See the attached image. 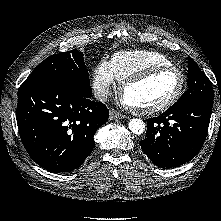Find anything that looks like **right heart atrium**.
<instances>
[{
	"instance_id": "1",
	"label": "right heart atrium",
	"mask_w": 221,
	"mask_h": 221,
	"mask_svg": "<svg viewBox=\"0 0 221 221\" xmlns=\"http://www.w3.org/2000/svg\"><path fill=\"white\" fill-rule=\"evenodd\" d=\"M114 86L115 76L110 63L101 60L92 71V87L95 96L100 101L106 100Z\"/></svg>"
}]
</instances>
